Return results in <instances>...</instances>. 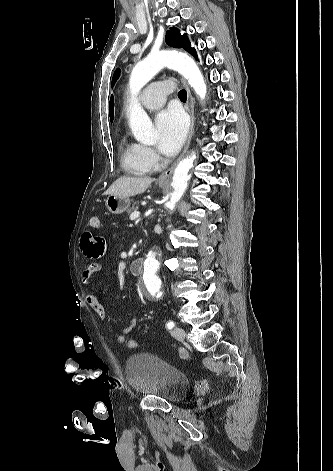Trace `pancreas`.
<instances>
[{
	"mask_svg": "<svg viewBox=\"0 0 333 471\" xmlns=\"http://www.w3.org/2000/svg\"><path fill=\"white\" fill-rule=\"evenodd\" d=\"M137 203L138 202H134L133 206L127 210L128 214H131L135 210V207L137 206Z\"/></svg>",
	"mask_w": 333,
	"mask_h": 471,
	"instance_id": "1",
	"label": "pancreas"
}]
</instances>
